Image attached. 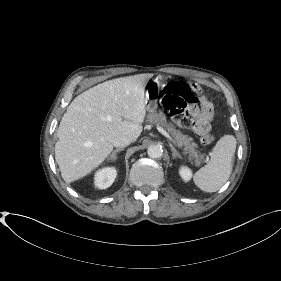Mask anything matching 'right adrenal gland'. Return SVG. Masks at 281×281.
<instances>
[{"label": "right adrenal gland", "instance_id": "1", "mask_svg": "<svg viewBox=\"0 0 281 281\" xmlns=\"http://www.w3.org/2000/svg\"><path fill=\"white\" fill-rule=\"evenodd\" d=\"M123 149L122 148H117L115 149L111 155L107 158V161H116L117 159V153L122 151Z\"/></svg>", "mask_w": 281, "mask_h": 281}]
</instances>
